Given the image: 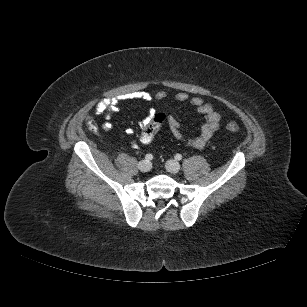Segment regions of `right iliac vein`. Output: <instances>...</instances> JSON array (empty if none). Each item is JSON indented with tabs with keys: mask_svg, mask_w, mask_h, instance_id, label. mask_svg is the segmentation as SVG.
<instances>
[{
	"mask_svg": "<svg viewBox=\"0 0 307 307\" xmlns=\"http://www.w3.org/2000/svg\"><path fill=\"white\" fill-rule=\"evenodd\" d=\"M138 169L142 172H148L151 169V163L146 160L140 161L138 164Z\"/></svg>",
	"mask_w": 307,
	"mask_h": 307,
	"instance_id": "obj_1",
	"label": "right iliac vein"
}]
</instances>
